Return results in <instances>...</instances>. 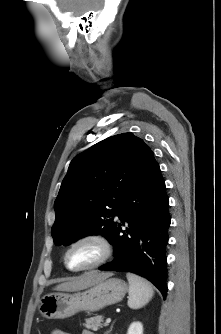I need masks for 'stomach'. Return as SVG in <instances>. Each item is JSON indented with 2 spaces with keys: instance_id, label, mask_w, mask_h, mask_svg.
Masks as SVG:
<instances>
[{
  "instance_id": "stomach-1",
  "label": "stomach",
  "mask_w": 221,
  "mask_h": 334,
  "mask_svg": "<svg viewBox=\"0 0 221 334\" xmlns=\"http://www.w3.org/2000/svg\"><path fill=\"white\" fill-rule=\"evenodd\" d=\"M127 291L123 280L109 276L82 292L49 293L40 299L38 309L45 318L64 319L80 311L95 312L116 304Z\"/></svg>"
}]
</instances>
